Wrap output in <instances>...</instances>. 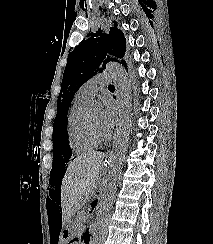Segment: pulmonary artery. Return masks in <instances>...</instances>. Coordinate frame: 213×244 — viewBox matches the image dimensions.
I'll return each mask as SVG.
<instances>
[{"mask_svg":"<svg viewBox=\"0 0 213 244\" xmlns=\"http://www.w3.org/2000/svg\"><path fill=\"white\" fill-rule=\"evenodd\" d=\"M113 81V76L109 73H100L87 82H85L78 90V95L85 99H92L98 90L102 87L109 85Z\"/></svg>","mask_w":213,"mask_h":244,"instance_id":"obj_1","label":"pulmonary artery"}]
</instances>
